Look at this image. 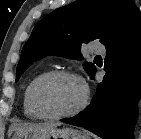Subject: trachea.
Returning <instances> with one entry per match:
<instances>
[{
  "instance_id": "3493384b",
  "label": "trachea",
  "mask_w": 141,
  "mask_h": 139,
  "mask_svg": "<svg viewBox=\"0 0 141 139\" xmlns=\"http://www.w3.org/2000/svg\"><path fill=\"white\" fill-rule=\"evenodd\" d=\"M96 58H101V56L97 55Z\"/></svg>"
}]
</instances>
